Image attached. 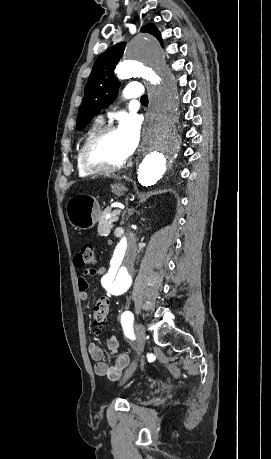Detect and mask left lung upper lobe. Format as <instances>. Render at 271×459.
<instances>
[{
	"label": "left lung upper lobe",
	"instance_id": "5c2ea615",
	"mask_svg": "<svg viewBox=\"0 0 271 459\" xmlns=\"http://www.w3.org/2000/svg\"><path fill=\"white\" fill-rule=\"evenodd\" d=\"M142 32L155 36L163 45L161 34L156 26L149 23ZM125 43H119L102 53L96 60L84 89V98L78 111L76 127L83 129L101 109L107 107L117 96L119 82L113 70L119 62Z\"/></svg>",
	"mask_w": 271,
	"mask_h": 459
}]
</instances>
